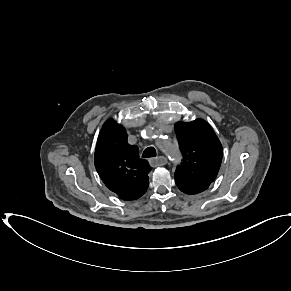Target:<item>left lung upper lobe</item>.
<instances>
[{
    "instance_id": "1",
    "label": "left lung upper lobe",
    "mask_w": 291,
    "mask_h": 291,
    "mask_svg": "<svg viewBox=\"0 0 291 291\" xmlns=\"http://www.w3.org/2000/svg\"><path fill=\"white\" fill-rule=\"evenodd\" d=\"M175 132L183 154L174 177L177 187L192 195L206 190L215 180L223 149L211 126L203 119L177 122Z\"/></svg>"
}]
</instances>
